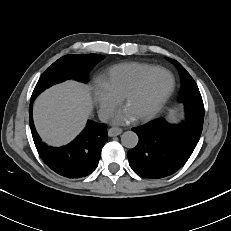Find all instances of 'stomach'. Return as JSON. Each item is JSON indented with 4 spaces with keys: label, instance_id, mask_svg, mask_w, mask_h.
Masks as SVG:
<instances>
[{
    "label": "stomach",
    "instance_id": "0dacf381",
    "mask_svg": "<svg viewBox=\"0 0 231 231\" xmlns=\"http://www.w3.org/2000/svg\"><path fill=\"white\" fill-rule=\"evenodd\" d=\"M169 119H170V121H175V120H176V117H175V115H174L173 113H171V114L169 115Z\"/></svg>",
    "mask_w": 231,
    "mask_h": 231
}]
</instances>
